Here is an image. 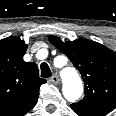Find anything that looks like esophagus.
Instances as JSON below:
<instances>
[{
	"mask_svg": "<svg viewBox=\"0 0 116 116\" xmlns=\"http://www.w3.org/2000/svg\"><path fill=\"white\" fill-rule=\"evenodd\" d=\"M49 81H50L51 83H53V84H58V83L60 82V79H59V77H58L57 75H53V76L49 79Z\"/></svg>",
	"mask_w": 116,
	"mask_h": 116,
	"instance_id": "1",
	"label": "esophagus"
}]
</instances>
